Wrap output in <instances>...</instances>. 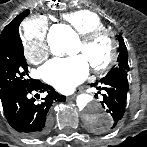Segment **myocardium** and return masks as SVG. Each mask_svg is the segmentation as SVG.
Returning a JSON list of instances; mask_svg holds the SVG:
<instances>
[{
	"label": "myocardium",
	"mask_w": 147,
	"mask_h": 147,
	"mask_svg": "<svg viewBox=\"0 0 147 147\" xmlns=\"http://www.w3.org/2000/svg\"><path fill=\"white\" fill-rule=\"evenodd\" d=\"M105 37L109 41V54L101 64H91L95 73L107 71L116 61L118 55V43L112 31L106 28L94 29L84 35H80V43L84 49H90L100 38Z\"/></svg>",
	"instance_id": "1"
}]
</instances>
